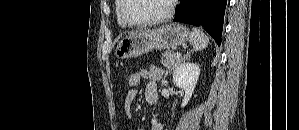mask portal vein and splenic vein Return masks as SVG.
Here are the masks:
<instances>
[{
  "instance_id": "1",
  "label": "portal vein and splenic vein",
  "mask_w": 299,
  "mask_h": 130,
  "mask_svg": "<svg viewBox=\"0 0 299 130\" xmlns=\"http://www.w3.org/2000/svg\"><path fill=\"white\" fill-rule=\"evenodd\" d=\"M174 55H175L176 57H180V56H181V53L176 52Z\"/></svg>"
}]
</instances>
